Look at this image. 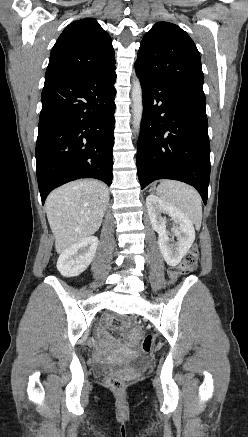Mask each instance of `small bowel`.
<instances>
[{"mask_svg":"<svg viewBox=\"0 0 248 437\" xmlns=\"http://www.w3.org/2000/svg\"><path fill=\"white\" fill-rule=\"evenodd\" d=\"M125 327L130 328L131 327L130 323L128 322ZM138 335H139L138 331L132 329L130 331L128 340L126 342H116L114 344L109 338H107L103 350L105 353H111L113 350H118V351L128 350L135 345L138 339Z\"/></svg>","mask_w":248,"mask_h":437,"instance_id":"c3829d8e","label":"small bowel"}]
</instances>
